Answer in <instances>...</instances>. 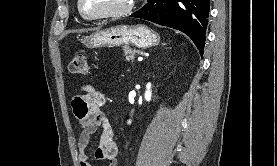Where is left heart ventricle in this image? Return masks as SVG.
<instances>
[{"instance_id":"obj_1","label":"left heart ventricle","mask_w":277,"mask_h":166,"mask_svg":"<svg viewBox=\"0 0 277 166\" xmlns=\"http://www.w3.org/2000/svg\"><path fill=\"white\" fill-rule=\"evenodd\" d=\"M129 0H83V8L89 13H102L119 10L126 6Z\"/></svg>"}]
</instances>
